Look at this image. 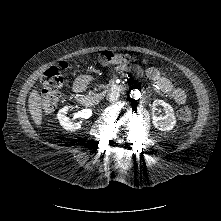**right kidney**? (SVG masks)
<instances>
[{
  "label": "right kidney",
  "instance_id": "ca27d5eb",
  "mask_svg": "<svg viewBox=\"0 0 221 221\" xmlns=\"http://www.w3.org/2000/svg\"><path fill=\"white\" fill-rule=\"evenodd\" d=\"M79 107L76 106H69V107H65L63 109L60 110V112L58 113V119L60 120V124L63 127L64 130L66 131H74L75 129H78L80 127L79 124H73L71 121V118L69 115L70 111H73V109H78ZM73 116V118L76 117V114H70Z\"/></svg>",
  "mask_w": 221,
  "mask_h": 221
}]
</instances>
